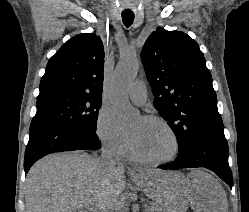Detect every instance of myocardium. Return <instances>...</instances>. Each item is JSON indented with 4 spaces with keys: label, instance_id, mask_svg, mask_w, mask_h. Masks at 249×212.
<instances>
[{
    "label": "myocardium",
    "instance_id": "obj_1",
    "mask_svg": "<svg viewBox=\"0 0 249 212\" xmlns=\"http://www.w3.org/2000/svg\"><path fill=\"white\" fill-rule=\"evenodd\" d=\"M141 118L144 121L157 122V123L161 124L162 126H164L169 131V133L172 135V137L174 139L175 150H174L173 154L168 158L161 159V160H148V159H144V158L140 157L133 150L131 143L129 142V154H130L131 159L139 164H142L145 166H152V167L166 165V164H169V163L175 161L181 152V142H180V139H179L177 132L172 127V125L164 118L156 116V115H143V116H141Z\"/></svg>",
    "mask_w": 249,
    "mask_h": 212
}]
</instances>
